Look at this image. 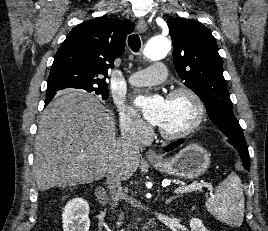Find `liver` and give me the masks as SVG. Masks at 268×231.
Wrapping results in <instances>:
<instances>
[{
    "label": "liver",
    "instance_id": "1",
    "mask_svg": "<svg viewBox=\"0 0 268 231\" xmlns=\"http://www.w3.org/2000/svg\"><path fill=\"white\" fill-rule=\"evenodd\" d=\"M113 113L91 94L60 92L43 111L33 172L38 189L93 183L119 169L124 180L137 170L140 154L116 138Z\"/></svg>",
    "mask_w": 268,
    "mask_h": 231
}]
</instances>
